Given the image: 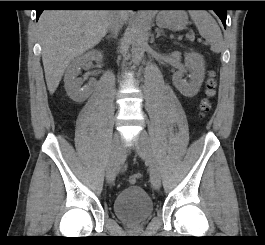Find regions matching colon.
Segmentation results:
<instances>
[{
  "label": "colon",
  "mask_w": 265,
  "mask_h": 245,
  "mask_svg": "<svg viewBox=\"0 0 265 245\" xmlns=\"http://www.w3.org/2000/svg\"><path fill=\"white\" fill-rule=\"evenodd\" d=\"M216 80L214 78V74L212 72L209 73L208 79L205 83V97L201 100L200 109L201 111L207 112L210 109V99L215 95L216 92ZM141 173H134L129 177V181L131 183L137 182L141 179Z\"/></svg>",
  "instance_id": "obj_1"
}]
</instances>
